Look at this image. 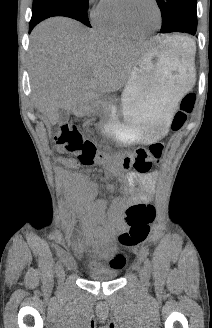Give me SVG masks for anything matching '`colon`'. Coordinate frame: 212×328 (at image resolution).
<instances>
[{
    "label": "colon",
    "instance_id": "5ec220e1",
    "mask_svg": "<svg viewBox=\"0 0 212 328\" xmlns=\"http://www.w3.org/2000/svg\"><path fill=\"white\" fill-rule=\"evenodd\" d=\"M195 94L187 93L181 99L179 109L174 115L171 128L179 131L187 121L195 104ZM55 143L68 154L75 156L84 166L97 163L99 173H112L113 170H135L139 173L150 171L154 163H158L163 154L164 145L156 142L148 147H142L135 153H110L109 156L102 152L96 143L85 137L76 124H63L55 134ZM108 162L107 165L106 163ZM155 208L152 205L137 204L130 206L126 211V219L130 226L128 232L119 236V242L125 247H133L142 243L148 236L150 223L155 218ZM113 264L124 265L123 255H116Z\"/></svg>",
    "mask_w": 212,
    "mask_h": 328
}]
</instances>
